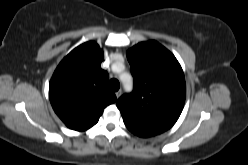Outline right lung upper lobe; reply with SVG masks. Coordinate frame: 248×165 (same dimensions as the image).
I'll return each mask as SVG.
<instances>
[{
	"label": "right lung upper lobe",
	"mask_w": 248,
	"mask_h": 165,
	"mask_svg": "<svg viewBox=\"0 0 248 165\" xmlns=\"http://www.w3.org/2000/svg\"><path fill=\"white\" fill-rule=\"evenodd\" d=\"M103 51L93 41L72 50L56 68L50 84L52 107L67 127L86 131L95 125L104 108L116 101L102 70Z\"/></svg>",
	"instance_id": "obj_1"
}]
</instances>
